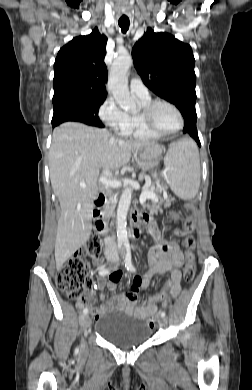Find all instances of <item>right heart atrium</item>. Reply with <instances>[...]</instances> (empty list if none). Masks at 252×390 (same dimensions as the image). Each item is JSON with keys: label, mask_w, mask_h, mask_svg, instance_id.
Here are the masks:
<instances>
[{"label": "right heart atrium", "mask_w": 252, "mask_h": 390, "mask_svg": "<svg viewBox=\"0 0 252 390\" xmlns=\"http://www.w3.org/2000/svg\"><path fill=\"white\" fill-rule=\"evenodd\" d=\"M100 119L120 136L129 131L128 114L123 111L113 98H107L99 108Z\"/></svg>", "instance_id": "1"}]
</instances>
